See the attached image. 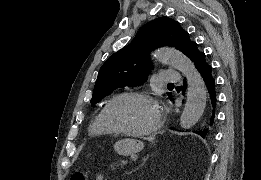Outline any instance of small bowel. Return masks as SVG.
<instances>
[{
  "label": "small bowel",
  "mask_w": 261,
  "mask_h": 180,
  "mask_svg": "<svg viewBox=\"0 0 261 180\" xmlns=\"http://www.w3.org/2000/svg\"><path fill=\"white\" fill-rule=\"evenodd\" d=\"M98 178L101 179V176L99 175Z\"/></svg>",
  "instance_id": "obj_1"
}]
</instances>
